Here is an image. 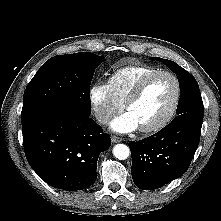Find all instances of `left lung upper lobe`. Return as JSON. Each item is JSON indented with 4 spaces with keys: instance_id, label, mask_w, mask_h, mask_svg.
Masks as SVG:
<instances>
[{
    "instance_id": "obj_1",
    "label": "left lung upper lobe",
    "mask_w": 221,
    "mask_h": 221,
    "mask_svg": "<svg viewBox=\"0 0 221 221\" xmlns=\"http://www.w3.org/2000/svg\"><path fill=\"white\" fill-rule=\"evenodd\" d=\"M151 59H155L152 57ZM156 60L162 61L168 66L174 73L178 75L180 82V98L177 107V116L175 120L190 118L196 116L203 119L204 107L201 98L198 83L196 82L193 75L179 66L177 63L168 59L156 57Z\"/></svg>"
}]
</instances>
